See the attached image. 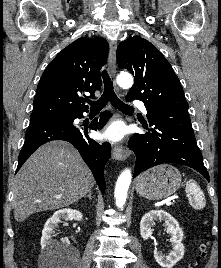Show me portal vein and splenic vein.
<instances>
[{"label":"portal vein and splenic vein","instance_id":"portal-vein-and-splenic-vein-1","mask_svg":"<svg viewBox=\"0 0 221 268\" xmlns=\"http://www.w3.org/2000/svg\"><path fill=\"white\" fill-rule=\"evenodd\" d=\"M172 204H174V201L172 199H168V201L166 202V205L170 206Z\"/></svg>","mask_w":221,"mask_h":268}]
</instances>
